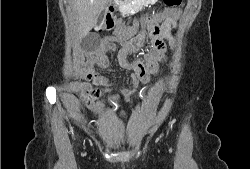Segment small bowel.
Returning a JSON list of instances; mask_svg holds the SVG:
<instances>
[{
	"mask_svg": "<svg viewBox=\"0 0 250 169\" xmlns=\"http://www.w3.org/2000/svg\"><path fill=\"white\" fill-rule=\"evenodd\" d=\"M170 30L171 19L167 18L163 20L159 34L155 36L152 41L154 47L146 52L144 56L146 66H144L140 60L130 63L126 58L129 53L138 51L141 45V42L137 43V39H129L132 30L122 27L115 34L104 36L98 47L90 53V60L86 66V75L91 84L86 85L79 91L78 97L80 100L86 101L87 97L90 96L91 100L94 101L98 98L101 89L109 88L110 84L107 79L95 71L94 64L97 63L100 66H108L109 61L106 52L115 49L117 44L122 46L117 54V60L123 68L133 70L135 85H137L139 81L149 82L153 77L157 76L160 72V64L166 60V45L164 40H168L169 43L173 41ZM124 95L127 97L128 92L125 91ZM101 105L102 103L98 102L94 108L99 109Z\"/></svg>",
	"mask_w": 250,
	"mask_h": 169,
	"instance_id": "c3829d8e",
	"label": "small bowel"
}]
</instances>
